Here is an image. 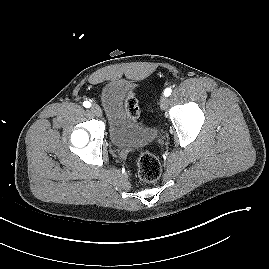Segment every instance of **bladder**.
Segmentation results:
<instances>
[{"label":"bladder","mask_w":269,"mask_h":269,"mask_svg":"<svg viewBox=\"0 0 269 269\" xmlns=\"http://www.w3.org/2000/svg\"><path fill=\"white\" fill-rule=\"evenodd\" d=\"M130 92V83L112 80L101 90V102L109 118V137L116 147H142L158 136L155 127H140L128 117L124 103Z\"/></svg>","instance_id":"bladder-1"}]
</instances>
